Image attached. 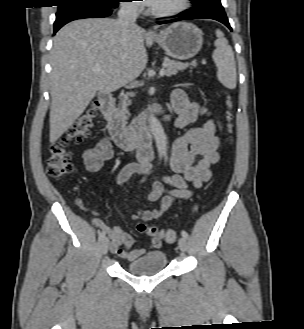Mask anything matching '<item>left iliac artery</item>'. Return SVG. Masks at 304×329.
Instances as JSON below:
<instances>
[{
  "label": "left iliac artery",
  "instance_id": "obj_1",
  "mask_svg": "<svg viewBox=\"0 0 304 329\" xmlns=\"http://www.w3.org/2000/svg\"><path fill=\"white\" fill-rule=\"evenodd\" d=\"M181 235H182V237H184V238H188V233H187L185 230H182V231H181Z\"/></svg>",
  "mask_w": 304,
  "mask_h": 329
}]
</instances>
